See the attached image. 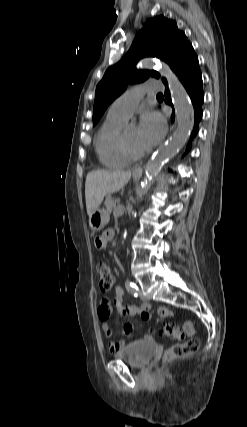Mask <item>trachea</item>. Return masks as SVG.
<instances>
[{
  "mask_svg": "<svg viewBox=\"0 0 247 427\" xmlns=\"http://www.w3.org/2000/svg\"><path fill=\"white\" fill-rule=\"evenodd\" d=\"M157 96H158V97H161V96H163V95H162L161 93H159V94H157Z\"/></svg>",
  "mask_w": 247,
  "mask_h": 427,
  "instance_id": "1",
  "label": "trachea"
}]
</instances>
